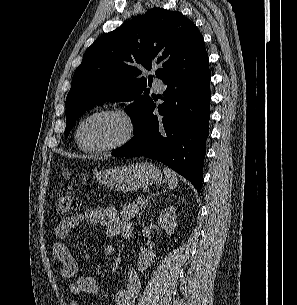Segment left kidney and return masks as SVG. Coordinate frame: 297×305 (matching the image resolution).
Wrapping results in <instances>:
<instances>
[{
    "label": "left kidney",
    "mask_w": 297,
    "mask_h": 305,
    "mask_svg": "<svg viewBox=\"0 0 297 305\" xmlns=\"http://www.w3.org/2000/svg\"><path fill=\"white\" fill-rule=\"evenodd\" d=\"M176 218V208L174 206H170L169 208L161 211L158 218V224L166 231L168 235H171L174 233L177 226ZM155 256L156 255L153 250L141 247L138 258V270L142 272L146 270L151 263H153Z\"/></svg>",
    "instance_id": "obj_1"
}]
</instances>
